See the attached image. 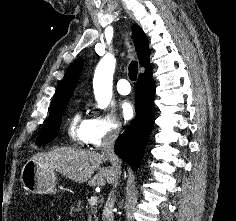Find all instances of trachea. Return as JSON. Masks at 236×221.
Instances as JSON below:
<instances>
[{
    "mask_svg": "<svg viewBox=\"0 0 236 221\" xmlns=\"http://www.w3.org/2000/svg\"><path fill=\"white\" fill-rule=\"evenodd\" d=\"M129 78L132 81H135L137 79V73H138V63L136 61H132L129 65Z\"/></svg>",
    "mask_w": 236,
    "mask_h": 221,
    "instance_id": "3493384b",
    "label": "trachea"
}]
</instances>
